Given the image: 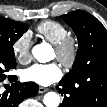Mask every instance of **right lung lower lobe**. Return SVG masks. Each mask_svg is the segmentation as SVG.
Listing matches in <instances>:
<instances>
[{
    "label": "right lung lower lobe",
    "instance_id": "obj_1",
    "mask_svg": "<svg viewBox=\"0 0 107 107\" xmlns=\"http://www.w3.org/2000/svg\"><path fill=\"white\" fill-rule=\"evenodd\" d=\"M14 81L16 76H12ZM2 81H0L1 83ZM14 85V84H13ZM38 92V85L34 82L15 83V86L6 90L4 93L0 92V107H18V105L25 99L35 96Z\"/></svg>",
    "mask_w": 107,
    "mask_h": 107
}]
</instances>
